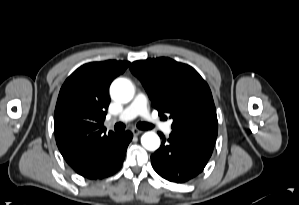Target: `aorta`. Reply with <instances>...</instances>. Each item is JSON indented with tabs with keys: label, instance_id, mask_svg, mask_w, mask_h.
I'll return each instance as SVG.
<instances>
[{
	"label": "aorta",
	"instance_id": "aorta-1",
	"mask_svg": "<svg viewBox=\"0 0 299 205\" xmlns=\"http://www.w3.org/2000/svg\"><path fill=\"white\" fill-rule=\"evenodd\" d=\"M110 93L114 100L127 103L133 98L134 89L130 81L120 78L112 83ZM141 144L145 149L155 151L160 146V138L154 132H146L141 137Z\"/></svg>",
	"mask_w": 299,
	"mask_h": 205
}]
</instances>
